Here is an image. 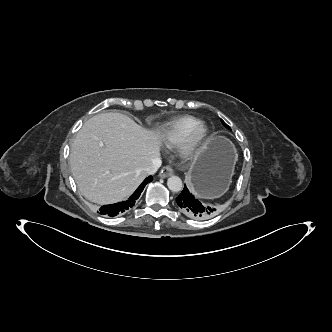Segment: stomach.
I'll return each mask as SVG.
<instances>
[{"mask_svg":"<svg viewBox=\"0 0 332 332\" xmlns=\"http://www.w3.org/2000/svg\"><path fill=\"white\" fill-rule=\"evenodd\" d=\"M236 157L235 147L227 138H208L187 173L192 193L205 199L222 196L230 185Z\"/></svg>","mask_w":332,"mask_h":332,"instance_id":"1","label":"stomach"}]
</instances>
